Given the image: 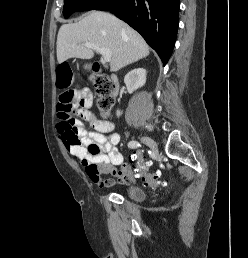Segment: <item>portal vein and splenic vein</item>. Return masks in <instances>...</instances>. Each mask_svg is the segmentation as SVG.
I'll return each instance as SVG.
<instances>
[{
	"label": "portal vein and splenic vein",
	"instance_id": "1",
	"mask_svg": "<svg viewBox=\"0 0 248 258\" xmlns=\"http://www.w3.org/2000/svg\"><path fill=\"white\" fill-rule=\"evenodd\" d=\"M84 46L87 47V48L96 50L98 53H100L103 56V58L106 62L111 61L112 54L109 50H107L105 48L98 47L93 43H85Z\"/></svg>",
	"mask_w": 248,
	"mask_h": 258
}]
</instances>
